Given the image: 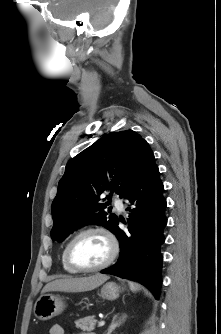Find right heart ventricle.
Returning <instances> with one entry per match:
<instances>
[{"mask_svg": "<svg viewBox=\"0 0 221 334\" xmlns=\"http://www.w3.org/2000/svg\"><path fill=\"white\" fill-rule=\"evenodd\" d=\"M65 248L66 246L64 247L63 251H62V254H61V262H62V267L65 271L69 272V273H77L76 271H74L72 268H70L67 263H66V260H65Z\"/></svg>", "mask_w": 221, "mask_h": 334, "instance_id": "right-heart-ventricle-1", "label": "right heart ventricle"}]
</instances>
